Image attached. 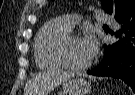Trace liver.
I'll use <instances>...</instances> for the list:
<instances>
[{
	"mask_svg": "<svg viewBox=\"0 0 135 95\" xmlns=\"http://www.w3.org/2000/svg\"><path fill=\"white\" fill-rule=\"evenodd\" d=\"M74 76V72L60 70L41 72L27 84L24 95H47L53 88L67 82Z\"/></svg>",
	"mask_w": 135,
	"mask_h": 95,
	"instance_id": "obj_1",
	"label": "liver"
}]
</instances>
